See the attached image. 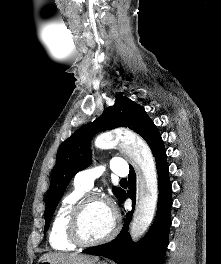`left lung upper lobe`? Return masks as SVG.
Returning <instances> with one entry per match:
<instances>
[{
  "instance_id": "obj_1",
  "label": "left lung upper lobe",
  "mask_w": 221,
  "mask_h": 264,
  "mask_svg": "<svg viewBox=\"0 0 221 264\" xmlns=\"http://www.w3.org/2000/svg\"><path fill=\"white\" fill-rule=\"evenodd\" d=\"M117 127H127L138 133L146 140L152 153L162 142L157 127L144 108L127 97H117L115 104L106 108L98 119L79 128L60 145L51 175L50 188L45 196L44 232L47 231L56 206L73 176L91 163L90 142L93 136L98 132ZM130 168L133 169L131 166ZM113 192L119 200L124 193L119 187H113Z\"/></svg>"
}]
</instances>
